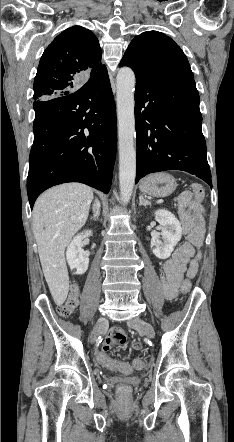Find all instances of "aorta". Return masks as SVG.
I'll use <instances>...</instances> for the list:
<instances>
[{
	"label": "aorta",
	"instance_id": "aorta-1",
	"mask_svg": "<svg viewBox=\"0 0 234 442\" xmlns=\"http://www.w3.org/2000/svg\"><path fill=\"white\" fill-rule=\"evenodd\" d=\"M135 74L129 67L119 69L116 78L119 144V187L124 205L131 199L136 176L134 89Z\"/></svg>",
	"mask_w": 234,
	"mask_h": 442
}]
</instances>
